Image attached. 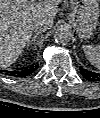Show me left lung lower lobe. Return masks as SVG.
<instances>
[{
	"label": "left lung lower lobe",
	"mask_w": 100,
	"mask_h": 118,
	"mask_svg": "<svg viewBox=\"0 0 100 118\" xmlns=\"http://www.w3.org/2000/svg\"><path fill=\"white\" fill-rule=\"evenodd\" d=\"M81 74L88 81H100V74L88 71L86 69L80 68Z\"/></svg>",
	"instance_id": "obj_1"
}]
</instances>
